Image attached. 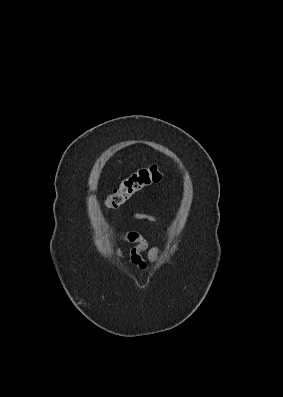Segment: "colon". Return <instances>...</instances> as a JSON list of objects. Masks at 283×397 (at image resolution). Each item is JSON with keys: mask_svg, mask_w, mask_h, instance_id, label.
<instances>
[{"mask_svg": "<svg viewBox=\"0 0 283 397\" xmlns=\"http://www.w3.org/2000/svg\"><path fill=\"white\" fill-rule=\"evenodd\" d=\"M163 177V171L158 165L140 168L122 180L106 197L105 203L110 208L119 207L144 188L160 182Z\"/></svg>", "mask_w": 283, "mask_h": 397, "instance_id": "obj_1", "label": "colon"}]
</instances>
